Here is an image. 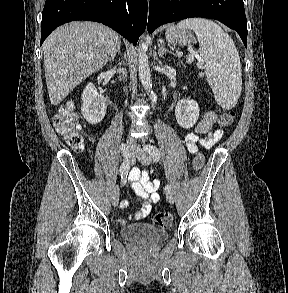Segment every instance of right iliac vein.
Instances as JSON below:
<instances>
[{"mask_svg": "<svg viewBox=\"0 0 288 293\" xmlns=\"http://www.w3.org/2000/svg\"><path fill=\"white\" fill-rule=\"evenodd\" d=\"M123 147H129V152H128V157H129L128 163H129L130 160L134 159V144L132 141H127V143L124 144ZM119 197H120L119 188H118V186H116L113 189L112 196H111V202L114 207H116L118 205Z\"/></svg>", "mask_w": 288, "mask_h": 293, "instance_id": "63e3f726", "label": "right iliac vein"}]
</instances>
